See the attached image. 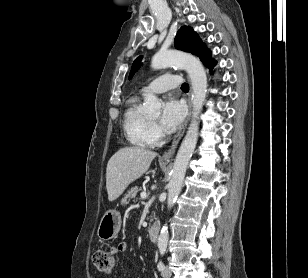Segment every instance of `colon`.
<instances>
[{
  "label": "colon",
  "mask_w": 308,
  "mask_h": 278,
  "mask_svg": "<svg viewBox=\"0 0 308 278\" xmlns=\"http://www.w3.org/2000/svg\"><path fill=\"white\" fill-rule=\"evenodd\" d=\"M115 254L111 250H98L93 254V264L102 274H110L115 265Z\"/></svg>",
  "instance_id": "5ec220e1"
}]
</instances>
